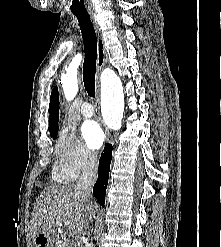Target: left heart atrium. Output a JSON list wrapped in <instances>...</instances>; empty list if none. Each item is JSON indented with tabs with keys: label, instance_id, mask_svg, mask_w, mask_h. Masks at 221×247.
<instances>
[{
	"label": "left heart atrium",
	"instance_id": "obj_1",
	"mask_svg": "<svg viewBox=\"0 0 221 247\" xmlns=\"http://www.w3.org/2000/svg\"><path fill=\"white\" fill-rule=\"evenodd\" d=\"M81 134L87 146L93 150L99 149L104 142V133L94 120H87L83 123Z\"/></svg>",
	"mask_w": 221,
	"mask_h": 247
}]
</instances>
